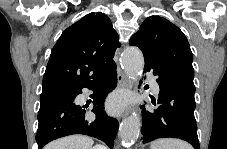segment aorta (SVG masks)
<instances>
[{"label": "aorta", "mask_w": 227, "mask_h": 149, "mask_svg": "<svg viewBox=\"0 0 227 149\" xmlns=\"http://www.w3.org/2000/svg\"><path fill=\"white\" fill-rule=\"evenodd\" d=\"M121 63L129 79L138 81L144 68V57L138 48L124 50ZM140 132V119L136 113H131L120 126L119 135L124 146H131L138 139Z\"/></svg>", "instance_id": "obj_1"}]
</instances>
